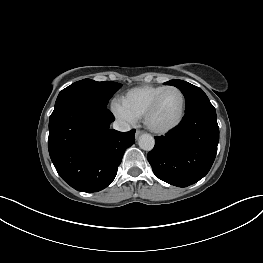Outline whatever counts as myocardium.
Returning <instances> with one entry per match:
<instances>
[{"mask_svg":"<svg viewBox=\"0 0 263 263\" xmlns=\"http://www.w3.org/2000/svg\"><path fill=\"white\" fill-rule=\"evenodd\" d=\"M169 90H176L181 95L182 108H181L180 115L177 118V120L175 122H173L172 124L165 126V127H156V126L151 124V121H150L151 116L153 115L154 111L156 110V108H157L161 98L163 97V95ZM186 106H187V101H186V96H185L184 92L177 86H167L154 97V99L151 101V103L147 107V109L144 113V116H143L144 123H145L146 127L154 133H157V134L168 133V132L174 130L176 127H178L181 124V122L183 121L185 114H186Z\"/></svg>","mask_w":263,"mask_h":263,"instance_id":"1","label":"myocardium"}]
</instances>
